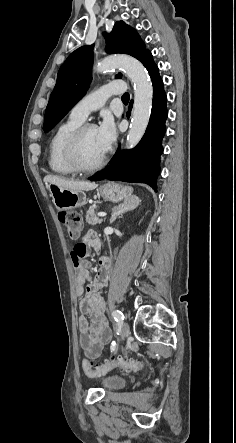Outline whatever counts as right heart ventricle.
I'll list each match as a JSON object with an SVG mask.
<instances>
[{
  "label": "right heart ventricle",
  "instance_id": "e07e8e85",
  "mask_svg": "<svg viewBox=\"0 0 236 443\" xmlns=\"http://www.w3.org/2000/svg\"><path fill=\"white\" fill-rule=\"evenodd\" d=\"M83 123L69 117L53 133L48 149V164L50 169L61 175H70L75 171L67 164L64 156V147L70 135Z\"/></svg>",
  "mask_w": 236,
  "mask_h": 443
}]
</instances>
